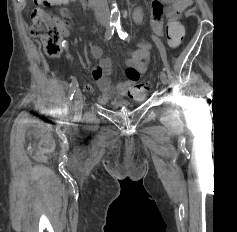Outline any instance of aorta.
Returning <instances> with one entry per match:
<instances>
[{
    "instance_id": "762f6f07",
    "label": "aorta",
    "mask_w": 237,
    "mask_h": 232,
    "mask_svg": "<svg viewBox=\"0 0 237 232\" xmlns=\"http://www.w3.org/2000/svg\"><path fill=\"white\" fill-rule=\"evenodd\" d=\"M113 5H114V8L111 11L110 19L112 22L116 23L120 21V12L117 9L116 4H113Z\"/></svg>"
}]
</instances>
